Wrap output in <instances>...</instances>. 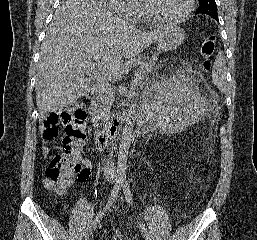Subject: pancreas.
Segmentation results:
<instances>
[{
    "mask_svg": "<svg viewBox=\"0 0 257 240\" xmlns=\"http://www.w3.org/2000/svg\"><path fill=\"white\" fill-rule=\"evenodd\" d=\"M155 69V58L142 63L135 72V80L132 82L134 88H137L148 75ZM114 102V95L106 89L96 91L95 98L91 102V109L97 115L96 120H100L103 115L110 109Z\"/></svg>",
    "mask_w": 257,
    "mask_h": 240,
    "instance_id": "pancreas-1",
    "label": "pancreas"
}]
</instances>
